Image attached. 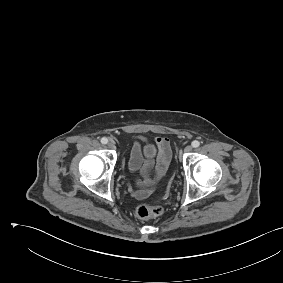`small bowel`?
Returning a JSON list of instances; mask_svg holds the SVG:
<instances>
[{"instance_id":"obj_1","label":"small bowel","mask_w":283,"mask_h":283,"mask_svg":"<svg viewBox=\"0 0 283 283\" xmlns=\"http://www.w3.org/2000/svg\"><path fill=\"white\" fill-rule=\"evenodd\" d=\"M143 142L145 139L138 138L134 141L129 162L130 169L136 171L142 166V180L138 181L141 189L136 192V197L144 198L150 192V188L166 172L171 161V149L169 141L164 137L154 140L157 148L156 160L154 157H143Z\"/></svg>"}]
</instances>
